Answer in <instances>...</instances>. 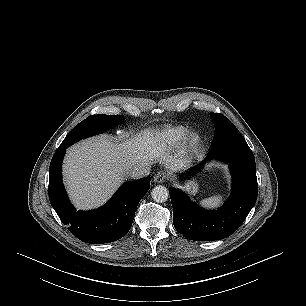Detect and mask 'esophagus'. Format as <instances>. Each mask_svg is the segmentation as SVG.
Listing matches in <instances>:
<instances>
[{
    "label": "esophagus",
    "mask_w": 306,
    "mask_h": 306,
    "mask_svg": "<svg viewBox=\"0 0 306 306\" xmlns=\"http://www.w3.org/2000/svg\"><path fill=\"white\" fill-rule=\"evenodd\" d=\"M167 176L165 172L159 171L155 176H154V182L155 183H163L165 182Z\"/></svg>",
    "instance_id": "obj_1"
}]
</instances>
